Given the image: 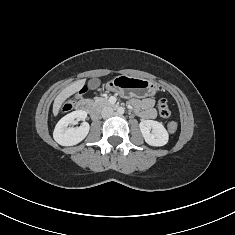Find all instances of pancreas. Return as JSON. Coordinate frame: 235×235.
Returning a JSON list of instances; mask_svg holds the SVG:
<instances>
[{
  "mask_svg": "<svg viewBox=\"0 0 235 235\" xmlns=\"http://www.w3.org/2000/svg\"><path fill=\"white\" fill-rule=\"evenodd\" d=\"M94 104L103 107L109 105V102L106 98L95 97Z\"/></svg>",
  "mask_w": 235,
  "mask_h": 235,
  "instance_id": "1",
  "label": "pancreas"
}]
</instances>
